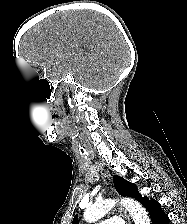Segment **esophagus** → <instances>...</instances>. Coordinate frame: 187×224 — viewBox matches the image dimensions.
Here are the masks:
<instances>
[{
	"instance_id": "obj_1",
	"label": "esophagus",
	"mask_w": 187,
	"mask_h": 224,
	"mask_svg": "<svg viewBox=\"0 0 187 224\" xmlns=\"http://www.w3.org/2000/svg\"><path fill=\"white\" fill-rule=\"evenodd\" d=\"M107 175L110 178V174H108V172H107ZM110 192H111L112 195H114V196L116 195V192H115L114 188L112 187V185L110 187ZM117 209H118V212L120 213V215L123 218H125L127 224H131L130 216L127 214L126 210L124 208L120 207V206H118Z\"/></svg>"
}]
</instances>
